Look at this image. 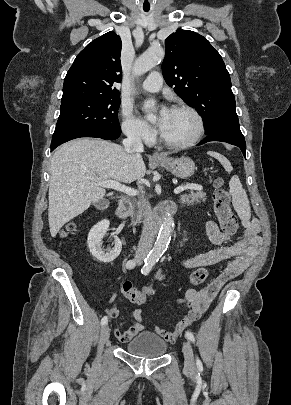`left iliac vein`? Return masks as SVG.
I'll return each mask as SVG.
<instances>
[{"instance_id": "obj_1", "label": "left iliac vein", "mask_w": 291, "mask_h": 405, "mask_svg": "<svg viewBox=\"0 0 291 405\" xmlns=\"http://www.w3.org/2000/svg\"><path fill=\"white\" fill-rule=\"evenodd\" d=\"M182 352L184 355L185 369L192 371L194 369V355L192 347L188 341L183 343Z\"/></svg>"}]
</instances>
